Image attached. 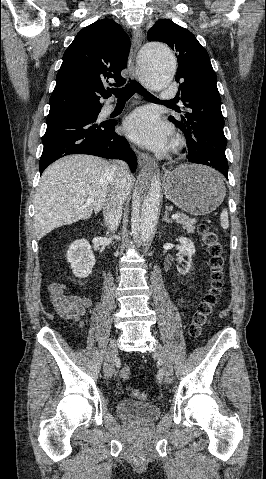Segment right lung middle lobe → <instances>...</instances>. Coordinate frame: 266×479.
<instances>
[{
  "label": "right lung middle lobe",
  "instance_id": "dd1d6c3e",
  "mask_svg": "<svg viewBox=\"0 0 266 479\" xmlns=\"http://www.w3.org/2000/svg\"><path fill=\"white\" fill-rule=\"evenodd\" d=\"M72 110L96 115V114H98V112L101 111V107L76 108V109H72Z\"/></svg>",
  "mask_w": 266,
  "mask_h": 479
}]
</instances>
